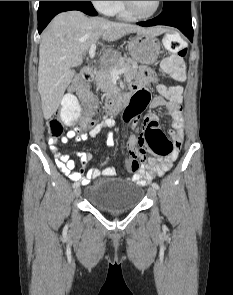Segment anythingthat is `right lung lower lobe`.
Masks as SVG:
<instances>
[{"label":"right lung lower lobe","mask_w":233,"mask_h":295,"mask_svg":"<svg viewBox=\"0 0 233 295\" xmlns=\"http://www.w3.org/2000/svg\"><path fill=\"white\" fill-rule=\"evenodd\" d=\"M70 10H79L90 16L97 15L90 1H40L38 32L41 33L55 15Z\"/></svg>","instance_id":"right-lung-lower-lobe-1"}]
</instances>
